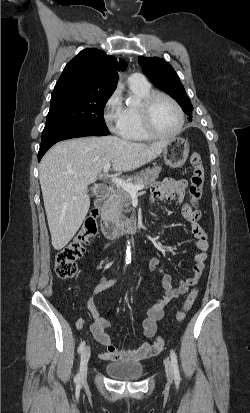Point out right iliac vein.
<instances>
[{"mask_svg":"<svg viewBox=\"0 0 250 413\" xmlns=\"http://www.w3.org/2000/svg\"><path fill=\"white\" fill-rule=\"evenodd\" d=\"M90 348L87 347L81 354V361H80V381L83 382L87 376V369H88V361L90 359Z\"/></svg>","mask_w":250,"mask_h":413,"instance_id":"obj_1","label":"right iliac vein"}]
</instances>
